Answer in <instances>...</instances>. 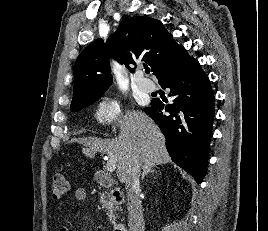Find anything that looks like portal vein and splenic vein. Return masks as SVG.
Returning <instances> with one entry per match:
<instances>
[{
	"label": "portal vein and splenic vein",
	"mask_w": 268,
	"mask_h": 231,
	"mask_svg": "<svg viewBox=\"0 0 268 231\" xmlns=\"http://www.w3.org/2000/svg\"><path fill=\"white\" fill-rule=\"evenodd\" d=\"M117 166V158L113 154H109L107 157L106 169L112 173L115 171Z\"/></svg>",
	"instance_id": "obj_1"
}]
</instances>
